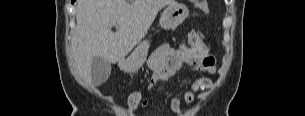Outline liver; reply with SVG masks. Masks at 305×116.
I'll return each mask as SVG.
<instances>
[{
  "instance_id": "liver-1",
  "label": "liver",
  "mask_w": 305,
  "mask_h": 116,
  "mask_svg": "<svg viewBox=\"0 0 305 116\" xmlns=\"http://www.w3.org/2000/svg\"><path fill=\"white\" fill-rule=\"evenodd\" d=\"M175 0H78L71 40L73 67L88 85L94 57L124 58L145 36L158 12ZM112 25L118 30L113 32Z\"/></svg>"
}]
</instances>
